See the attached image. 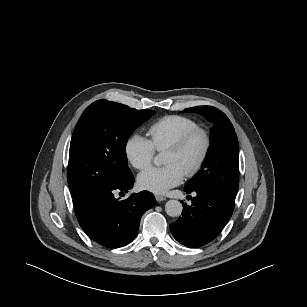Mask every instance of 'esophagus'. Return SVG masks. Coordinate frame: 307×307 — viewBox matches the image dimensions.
I'll list each match as a JSON object with an SVG mask.
<instances>
[{
	"mask_svg": "<svg viewBox=\"0 0 307 307\" xmlns=\"http://www.w3.org/2000/svg\"><path fill=\"white\" fill-rule=\"evenodd\" d=\"M155 198H156V200H157L158 202H162V201H165V200H166V198H165L164 196L158 195V194L155 195Z\"/></svg>",
	"mask_w": 307,
	"mask_h": 307,
	"instance_id": "esophagus-1",
	"label": "esophagus"
}]
</instances>
